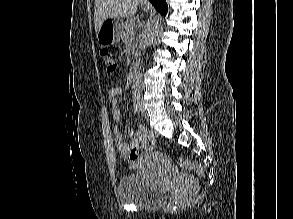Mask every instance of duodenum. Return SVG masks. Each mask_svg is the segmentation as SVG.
<instances>
[{
    "instance_id": "410a0bca",
    "label": "duodenum",
    "mask_w": 293,
    "mask_h": 219,
    "mask_svg": "<svg viewBox=\"0 0 293 219\" xmlns=\"http://www.w3.org/2000/svg\"><path fill=\"white\" fill-rule=\"evenodd\" d=\"M138 65L133 64L129 69V79L131 82H134L137 77Z\"/></svg>"
}]
</instances>
